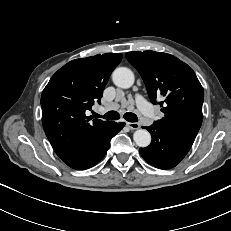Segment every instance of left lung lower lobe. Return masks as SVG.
Wrapping results in <instances>:
<instances>
[{"label":"left lung lower lobe","mask_w":231,"mask_h":231,"mask_svg":"<svg viewBox=\"0 0 231 231\" xmlns=\"http://www.w3.org/2000/svg\"><path fill=\"white\" fill-rule=\"evenodd\" d=\"M152 136L151 144L140 148L141 156L151 165L160 169H170L178 165L186 156L192 144L153 123L145 127Z\"/></svg>","instance_id":"0a47b994"}]
</instances>
